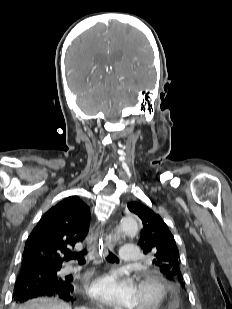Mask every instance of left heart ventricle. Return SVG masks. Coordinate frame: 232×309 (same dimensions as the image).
Returning a JSON list of instances; mask_svg holds the SVG:
<instances>
[{
	"mask_svg": "<svg viewBox=\"0 0 232 309\" xmlns=\"http://www.w3.org/2000/svg\"><path fill=\"white\" fill-rule=\"evenodd\" d=\"M153 298H154V292L152 287L150 286L137 287L136 302L133 309H141V307L150 304Z\"/></svg>",
	"mask_w": 232,
	"mask_h": 309,
	"instance_id": "b2bd125f",
	"label": "left heart ventricle"
}]
</instances>
